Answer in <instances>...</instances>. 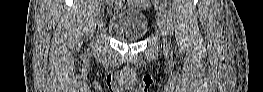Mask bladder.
<instances>
[{
  "mask_svg": "<svg viewBox=\"0 0 263 92\" xmlns=\"http://www.w3.org/2000/svg\"><path fill=\"white\" fill-rule=\"evenodd\" d=\"M107 29L116 40L138 41L147 33V22L143 11L134 7L112 15Z\"/></svg>",
  "mask_w": 263,
  "mask_h": 92,
  "instance_id": "bladder-1",
  "label": "bladder"
}]
</instances>
